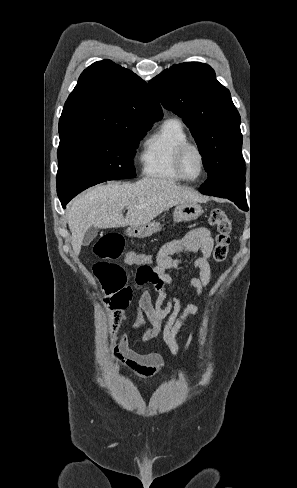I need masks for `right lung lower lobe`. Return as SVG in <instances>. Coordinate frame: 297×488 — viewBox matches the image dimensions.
I'll use <instances>...</instances> for the list:
<instances>
[{
  "mask_svg": "<svg viewBox=\"0 0 297 488\" xmlns=\"http://www.w3.org/2000/svg\"><path fill=\"white\" fill-rule=\"evenodd\" d=\"M61 203H62V205H66L68 203V201H62Z\"/></svg>",
  "mask_w": 297,
  "mask_h": 488,
  "instance_id": "1",
  "label": "right lung lower lobe"
}]
</instances>
